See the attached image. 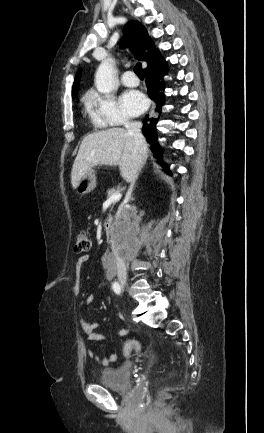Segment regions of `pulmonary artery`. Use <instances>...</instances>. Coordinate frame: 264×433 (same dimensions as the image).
Instances as JSON below:
<instances>
[{
  "instance_id": "e3ab8cb5",
  "label": "pulmonary artery",
  "mask_w": 264,
  "mask_h": 433,
  "mask_svg": "<svg viewBox=\"0 0 264 433\" xmlns=\"http://www.w3.org/2000/svg\"><path fill=\"white\" fill-rule=\"evenodd\" d=\"M121 81L123 85L127 87H135L138 85L139 81L133 71L127 70L123 73Z\"/></svg>"
}]
</instances>
